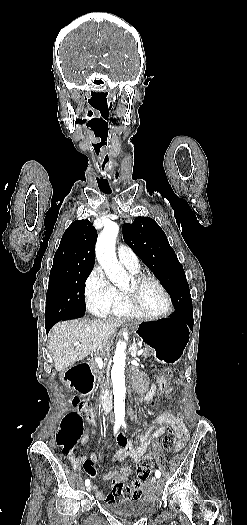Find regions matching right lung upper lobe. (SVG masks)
I'll use <instances>...</instances> for the list:
<instances>
[{"instance_id":"1","label":"right lung upper lobe","mask_w":247,"mask_h":525,"mask_svg":"<svg viewBox=\"0 0 247 525\" xmlns=\"http://www.w3.org/2000/svg\"><path fill=\"white\" fill-rule=\"evenodd\" d=\"M97 234L88 220L74 221L64 232L51 271L91 270Z\"/></svg>"}]
</instances>
